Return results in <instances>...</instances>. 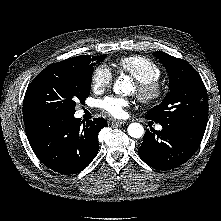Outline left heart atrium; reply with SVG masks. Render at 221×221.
Wrapping results in <instances>:
<instances>
[{
  "mask_svg": "<svg viewBox=\"0 0 221 221\" xmlns=\"http://www.w3.org/2000/svg\"><path fill=\"white\" fill-rule=\"evenodd\" d=\"M129 102L120 97H106L100 101V108L107 114L115 118H123L127 114V107Z\"/></svg>",
  "mask_w": 221,
  "mask_h": 221,
  "instance_id": "39dd6f15",
  "label": "left heart atrium"
}]
</instances>
